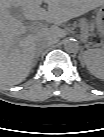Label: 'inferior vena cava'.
<instances>
[{
  "label": "inferior vena cava",
  "mask_w": 104,
  "mask_h": 137,
  "mask_svg": "<svg viewBox=\"0 0 104 137\" xmlns=\"http://www.w3.org/2000/svg\"><path fill=\"white\" fill-rule=\"evenodd\" d=\"M46 47H47V44L43 42L38 43L35 50L36 54L37 55L41 54L46 49Z\"/></svg>",
  "instance_id": "obj_1"
}]
</instances>
